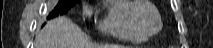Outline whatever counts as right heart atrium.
<instances>
[{
    "label": "right heart atrium",
    "instance_id": "1",
    "mask_svg": "<svg viewBox=\"0 0 213 48\" xmlns=\"http://www.w3.org/2000/svg\"><path fill=\"white\" fill-rule=\"evenodd\" d=\"M84 14L85 15H90L91 14V9L89 7L84 8Z\"/></svg>",
    "mask_w": 213,
    "mask_h": 48
}]
</instances>
